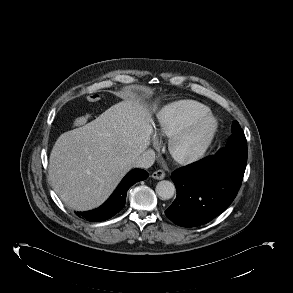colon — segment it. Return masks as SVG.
<instances>
[{
	"mask_svg": "<svg viewBox=\"0 0 293 293\" xmlns=\"http://www.w3.org/2000/svg\"><path fill=\"white\" fill-rule=\"evenodd\" d=\"M86 99L88 102L95 103L100 100V95L97 93H90L86 96ZM89 119H90V115L79 116L74 119L73 125L76 127L82 126L86 124L89 121Z\"/></svg>",
	"mask_w": 293,
	"mask_h": 293,
	"instance_id": "5ec220e1",
	"label": "colon"
}]
</instances>
